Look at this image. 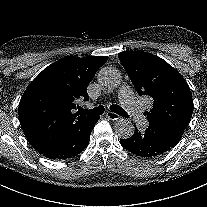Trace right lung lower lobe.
<instances>
[{"mask_svg":"<svg viewBox=\"0 0 207 207\" xmlns=\"http://www.w3.org/2000/svg\"><path fill=\"white\" fill-rule=\"evenodd\" d=\"M99 118L89 116L78 121L55 145L41 154L52 160H63L81 153L88 146L90 134Z\"/></svg>","mask_w":207,"mask_h":207,"instance_id":"obj_1","label":"right lung lower lobe"}]
</instances>
